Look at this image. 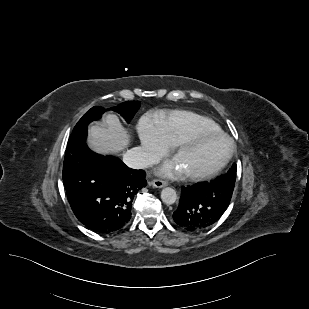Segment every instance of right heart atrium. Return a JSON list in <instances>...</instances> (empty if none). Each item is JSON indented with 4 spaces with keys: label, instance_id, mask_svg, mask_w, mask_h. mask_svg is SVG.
<instances>
[{
    "label": "right heart atrium",
    "instance_id": "obj_1",
    "mask_svg": "<svg viewBox=\"0 0 309 309\" xmlns=\"http://www.w3.org/2000/svg\"><path fill=\"white\" fill-rule=\"evenodd\" d=\"M139 138L140 154L146 164L158 161L169 150V144L158 128L147 121L140 124Z\"/></svg>",
    "mask_w": 309,
    "mask_h": 309
}]
</instances>
